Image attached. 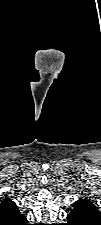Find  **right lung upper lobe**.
I'll list each match as a JSON object with an SVG mask.
<instances>
[{
  "label": "right lung upper lobe",
  "mask_w": 101,
  "mask_h": 225,
  "mask_svg": "<svg viewBox=\"0 0 101 225\" xmlns=\"http://www.w3.org/2000/svg\"><path fill=\"white\" fill-rule=\"evenodd\" d=\"M23 218L16 204L10 199H5L0 204V225H18Z\"/></svg>",
  "instance_id": "1"
}]
</instances>
